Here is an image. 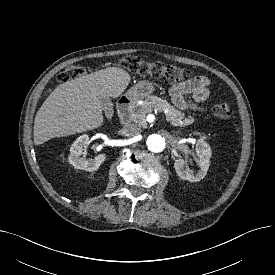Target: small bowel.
<instances>
[{"instance_id": "obj_1", "label": "small bowel", "mask_w": 275, "mask_h": 275, "mask_svg": "<svg viewBox=\"0 0 275 275\" xmlns=\"http://www.w3.org/2000/svg\"><path fill=\"white\" fill-rule=\"evenodd\" d=\"M174 105L179 109L192 108L202 110L200 103L207 100L210 94L209 80L204 76H197L188 81L174 84L169 89ZM191 95L196 104H189L185 95Z\"/></svg>"}]
</instances>
